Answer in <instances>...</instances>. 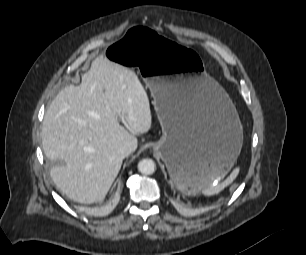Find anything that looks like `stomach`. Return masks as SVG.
Wrapping results in <instances>:
<instances>
[{
    "mask_svg": "<svg viewBox=\"0 0 306 255\" xmlns=\"http://www.w3.org/2000/svg\"><path fill=\"white\" fill-rule=\"evenodd\" d=\"M101 56L110 65L136 66L150 89L162 127L153 150L180 192L196 194L229 172L242 148V125L196 51L157 30L131 25Z\"/></svg>",
    "mask_w": 306,
    "mask_h": 255,
    "instance_id": "obj_1",
    "label": "stomach"
}]
</instances>
